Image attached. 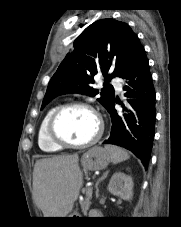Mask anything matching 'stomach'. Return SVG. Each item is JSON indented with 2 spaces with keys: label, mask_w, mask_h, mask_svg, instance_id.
<instances>
[{
  "label": "stomach",
  "mask_w": 181,
  "mask_h": 227,
  "mask_svg": "<svg viewBox=\"0 0 181 227\" xmlns=\"http://www.w3.org/2000/svg\"><path fill=\"white\" fill-rule=\"evenodd\" d=\"M111 161V156L108 151L100 146H95L85 152L81 157V165L84 170L97 171L108 166ZM77 217V216H68Z\"/></svg>",
  "instance_id": "obj_1"
}]
</instances>
